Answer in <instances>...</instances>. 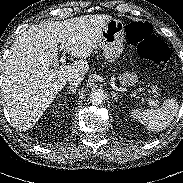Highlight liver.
Returning <instances> with one entry per match:
<instances>
[{"mask_svg":"<svg viewBox=\"0 0 183 183\" xmlns=\"http://www.w3.org/2000/svg\"><path fill=\"white\" fill-rule=\"evenodd\" d=\"M110 15L93 14L64 21H45L18 35L6 59L2 93L10 117L23 130L33 127L72 74L84 75L88 58ZM58 43L66 47L71 64L58 63Z\"/></svg>","mask_w":183,"mask_h":183,"instance_id":"obj_1","label":"liver"}]
</instances>
